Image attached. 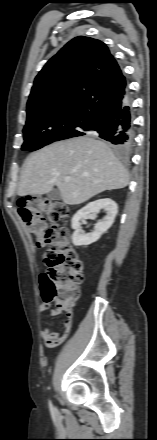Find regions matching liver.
<instances>
[{
    "label": "liver",
    "mask_w": 157,
    "mask_h": 440,
    "mask_svg": "<svg viewBox=\"0 0 157 440\" xmlns=\"http://www.w3.org/2000/svg\"><path fill=\"white\" fill-rule=\"evenodd\" d=\"M128 183L127 170L108 145L84 136L55 142L30 154L23 164L17 193L42 195L57 186L65 204L78 205Z\"/></svg>",
    "instance_id": "6515ba94"
}]
</instances>
